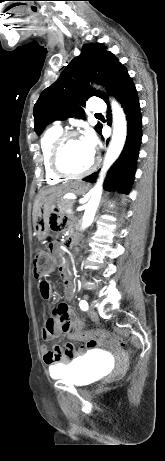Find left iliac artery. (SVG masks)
I'll use <instances>...</instances> for the list:
<instances>
[{
    "label": "left iliac artery",
    "instance_id": "44dca946",
    "mask_svg": "<svg viewBox=\"0 0 165 461\" xmlns=\"http://www.w3.org/2000/svg\"><path fill=\"white\" fill-rule=\"evenodd\" d=\"M79 305L83 311H86L88 309V303L85 300H82Z\"/></svg>",
    "mask_w": 165,
    "mask_h": 461
}]
</instances>
